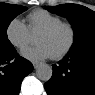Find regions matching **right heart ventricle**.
Returning a JSON list of instances; mask_svg holds the SVG:
<instances>
[{
    "label": "right heart ventricle",
    "mask_w": 95,
    "mask_h": 95,
    "mask_svg": "<svg viewBox=\"0 0 95 95\" xmlns=\"http://www.w3.org/2000/svg\"><path fill=\"white\" fill-rule=\"evenodd\" d=\"M28 29L31 34L39 33L41 30L62 22V19L46 10H34L27 16Z\"/></svg>",
    "instance_id": "right-heart-ventricle-1"
}]
</instances>
